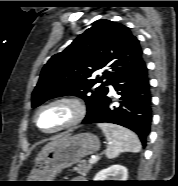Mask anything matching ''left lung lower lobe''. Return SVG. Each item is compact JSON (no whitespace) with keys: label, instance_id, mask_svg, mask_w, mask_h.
I'll list each match as a JSON object with an SVG mask.
<instances>
[{"label":"left lung lower lobe","instance_id":"1","mask_svg":"<svg viewBox=\"0 0 178 186\" xmlns=\"http://www.w3.org/2000/svg\"><path fill=\"white\" fill-rule=\"evenodd\" d=\"M120 96L119 106L112 104L109 89L100 104L88 112L83 124L113 123L134 131L146 145L152 121L150 85L145 61L120 73L112 83Z\"/></svg>","mask_w":178,"mask_h":186}]
</instances>
